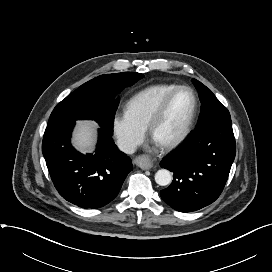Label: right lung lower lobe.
<instances>
[{
    "mask_svg": "<svg viewBox=\"0 0 272 272\" xmlns=\"http://www.w3.org/2000/svg\"><path fill=\"white\" fill-rule=\"evenodd\" d=\"M75 121L47 127L42 153L60 195L81 208H99L112 201L133 166L110 133L99 129L95 154H82L70 143Z\"/></svg>",
    "mask_w": 272,
    "mask_h": 272,
    "instance_id": "98d812e1",
    "label": "right lung lower lobe"
}]
</instances>
